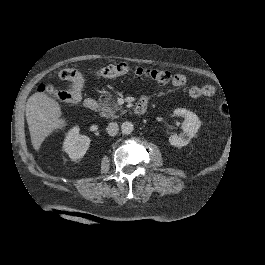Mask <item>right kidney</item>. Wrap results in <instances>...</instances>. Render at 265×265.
Returning a JSON list of instances; mask_svg holds the SVG:
<instances>
[{"label": "right kidney", "instance_id": "1", "mask_svg": "<svg viewBox=\"0 0 265 265\" xmlns=\"http://www.w3.org/2000/svg\"><path fill=\"white\" fill-rule=\"evenodd\" d=\"M80 128L73 127L66 133L63 143L64 151L69 155L72 160L82 158L90 145V138L85 135L79 134Z\"/></svg>", "mask_w": 265, "mask_h": 265}]
</instances>
